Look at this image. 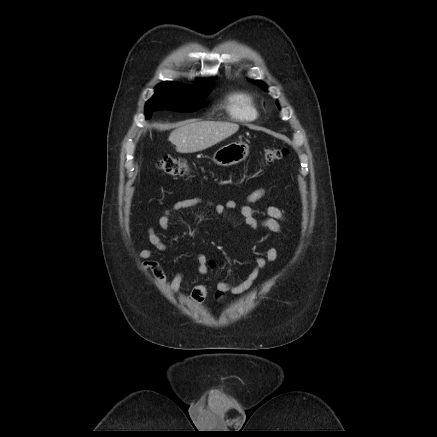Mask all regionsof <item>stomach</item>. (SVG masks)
Returning a JSON list of instances; mask_svg holds the SVG:
<instances>
[{
  "label": "stomach",
  "instance_id": "stomach-1",
  "mask_svg": "<svg viewBox=\"0 0 437 437\" xmlns=\"http://www.w3.org/2000/svg\"><path fill=\"white\" fill-rule=\"evenodd\" d=\"M249 146L243 142H232L219 148L213 156V161L219 166H231L242 162L248 157Z\"/></svg>",
  "mask_w": 437,
  "mask_h": 437
}]
</instances>
